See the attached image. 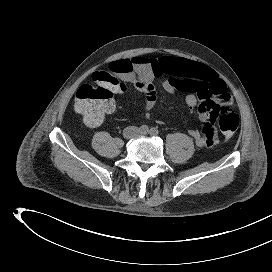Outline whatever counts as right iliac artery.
Returning a JSON list of instances; mask_svg holds the SVG:
<instances>
[{"label":"right iliac artery","instance_id":"82829eb1","mask_svg":"<svg viewBox=\"0 0 272 272\" xmlns=\"http://www.w3.org/2000/svg\"><path fill=\"white\" fill-rule=\"evenodd\" d=\"M149 131V127L147 125H142L139 127V132L146 134Z\"/></svg>","mask_w":272,"mask_h":272}]
</instances>
